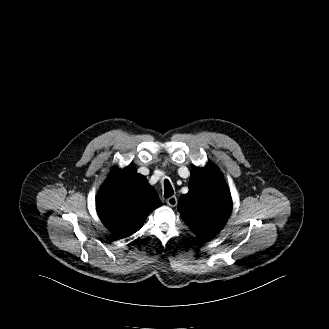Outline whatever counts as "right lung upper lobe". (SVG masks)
I'll use <instances>...</instances> for the list:
<instances>
[{"instance_id": "obj_1", "label": "right lung upper lobe", "mask_w": 329, "mask_h": 329, "mask_svg": "<svg viewBox=\"0 0 329 329\" xmlns=\"http://www.w3.org/2000/svg\"><path fill=\"white\" fill-rule=\"evenodd\" d=\"M159 206L155 190L131 165L122 170L114 167L96 197L102 223L120 239L138 231Z\"/></svg>"}]
</instances>
